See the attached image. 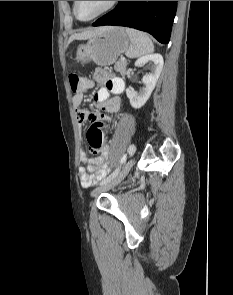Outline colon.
<instances>
[{
  "label": "colon",
  "instance_id": "obj_1",
  "mask_svg": "<svg viewBox=\"0 0 233 295\" xmlns=\"http://www.w3.org/2000/svg\"><path fill=\"white\" fill-rule=\"evenodd\" d=\"M70 85L72 91L77 93H83L92 87V82L89 79L80 77L76 74L70 75ZM87 141L89 151L92 154H98L102 149L103 134L101 128L98 126H91L87 131Z\"/></svg>",
  "mask_w": 233,
  "mask_h": 295
}]
</instances>
